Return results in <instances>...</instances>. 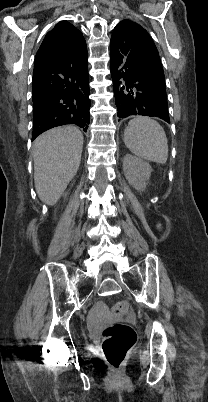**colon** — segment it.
<instances>
[{
  "label": "colon",
  "instance_id": "obj_1",
  "mask_svg": "<svg viewBox=\"0 0 208 402\" xmlns=\"http://www.w3.org/2000/svg\"><path fill=\"white\" fill-rule=\"evenodd\" d=\"M158 227L163 228V223L158 222ZM127 305L117 304L114 310L126 311ZM138 337V330L133 329L132 324H108L103 332V345L102 349L105 354L106 360L115 365L114 370L118 371L119 365L125 359L130 347L135 338Z\"/></svg>",
  "mask_w": 208,
  "mask_h": 402
}]
</instances>
